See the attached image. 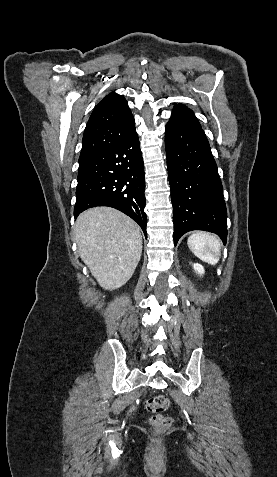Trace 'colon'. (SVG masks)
Wrapping results in <instances>:
<instances>
[{"label": "colon", "mask_w": 277, "mask_h": 477, "mask_svg": "<svg viewBox=\"0 0 277 477\" xmlns=\"http://www.w3.org/2000/svg\"><path fill=\"white\" fill-rule=\"evenodd\" d=\"M169 406V399L164 395H156L146 401V410L150 413L149 424L158 433L170 428L172 420L163 412Z\"/></svg>", "instance_id": "1"}]
</instances>
